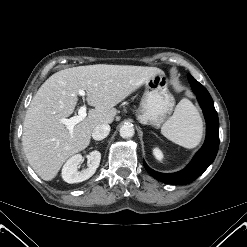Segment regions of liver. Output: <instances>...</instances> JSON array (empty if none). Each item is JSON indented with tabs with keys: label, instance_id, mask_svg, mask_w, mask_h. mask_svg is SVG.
<instances>
[{
	"label": "liver",
	"instance_id": "liver-1",
	"mask_svg": "<svg viewBox=\"0 0 247 247\" xmlns=\"http://www.w3.org/2000/svg\"><path fill=\"white\" fill-rule=\"evenodd\" d=\"M161 72L156 67L97 64L50 76L33 97L23 123V150L36 174L52 180L69 157L89 145L97 125L113 122L114 106ZM79 90L86 91L94 109L70 133L59 119L74 112Z\"/></svg>",
	"mask_w": 247,
	"mask_h": 247
}]
</instances>
